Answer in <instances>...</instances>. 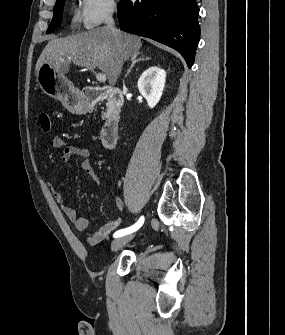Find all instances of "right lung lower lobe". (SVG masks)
I'll return each mask as SVG.
<instances>
[{"mask_svg":"<svg viewBox=\"0 0 285 335\" xmlns=\"http://www.w3.org/2000/svg\"><path fill=\"white\" fill-rule=\"evenodd\" d=\"M196 0H121L118 20L121 28L168 45L194 63L200 36Z\"/></svg>","mask_w":285,"mask_h":335,"instance_id":"right-lung-lower-lobe-1","label":"right lung lower lobe"}]
</instances>
